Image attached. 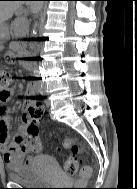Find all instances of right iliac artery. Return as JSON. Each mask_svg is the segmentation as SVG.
I'll use <instances>...</instances> for the list:
<instances>
[{
    "label": "right iliac artery",
    "instance_id": "1",
    "mask_svg": "<svg viewBox=\"0 0 137 189\" xmlns=\"http://www.w3.org/2000/svg\"><path fill=\"white\" fill-rule=\"evenodd\" d=\"M36 92H37V93H40V92H41V90H40V89H36Z\"/></svg>",
    "mask_w": 137,
    "mask_h": 189
}]
</instances>
